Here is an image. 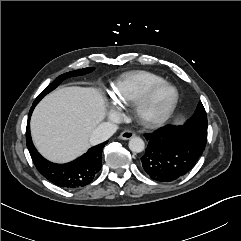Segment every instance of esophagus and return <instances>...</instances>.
<instances>
[{"label":"esophagus","mask_w":241,"mask_h":241,"mask_svg":"<svg viewBox=\"0 0 241 241\" xmlns=\"http://www.w3.org/2000/svg\"><path fill=\"white\" fill-rule=\"evenodd\" d=\"M135 136V133L131 130H125L123 131L119 138L122 139V140H129L131 138H133Z\"/></svg>","instance_id":"esophagus-1"}]
</instances>
